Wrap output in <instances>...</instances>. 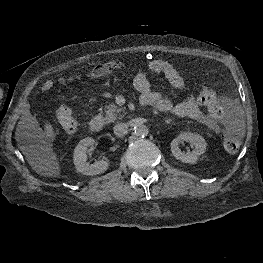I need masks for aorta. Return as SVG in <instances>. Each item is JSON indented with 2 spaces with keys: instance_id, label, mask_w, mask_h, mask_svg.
I'll list each match as a JSON object with an SVG mask.
<instances>
[{
  "instance_id": "aorta-1",
  "label": "aorta",
  "mask_w": 263,
  "mask_h": 263,
  "mask_svg": "<svg viewBox=\"0 0 263 263\" xmlns=\"http://www.w3.org/2000/svg\"><path fill=\"white\" fill-rule=\"evenodd\" d=\"M148 133H149V130L145 125L140 124L134 128V134L137 137H145L148 135Z\"/></svg>"
}]
</instances>
